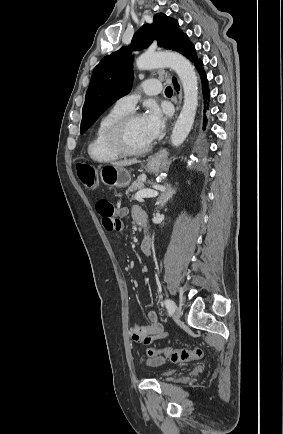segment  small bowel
<instances>
[{"instance_id": "c3829d8e", "label": "small bowel", "mask_w": 283, "mask_h": 434, "mask_svg": "<svg viewBox=\"0 0 283 434\" xmlns=\"http://www.w3.org/2000/svg\"><path fill=\"white\" fill-rule=\"evenodd\" d=\"M96 210L102 217V224L107 231L118 232L121 231L123 223L120 217L127 214L126 209L117 210L115 206L107 199L101 198L96 202ZM133 219L138 223H147V214L140 207H134L131 211ZM142 249L145 253H150V244L143 243ZM146 324L131 326V337L136 342H144L149 344L154 339H161L166 336L164 326L158 322L157 316L154 312L146 313ZM149 365H161L164 358L160 355L144 359Z\"/></svg>"}]
</instances>
